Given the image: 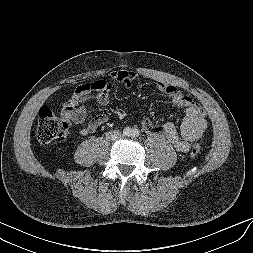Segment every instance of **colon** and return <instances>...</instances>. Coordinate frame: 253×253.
<instances>
[{"label": "colon", "instance_id": "obj_1", "mask_svg": "<svg viewBox=\"0 0 253 253\" xmlns=\"http://www.w3.org/2000/svg\"><path fill=\"white\" fill-rule=\"evenodd\" d=\"M68 127V123L57 117L47 106H43L39 109L36 131V137L39 143L49 144L63 137L66 135ZM201 151L200 145H194L190 154L193 158H196L201 154Z\"/></svg>", "mask_w": 253, "mask_h": 253}]
</instances>
